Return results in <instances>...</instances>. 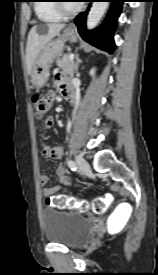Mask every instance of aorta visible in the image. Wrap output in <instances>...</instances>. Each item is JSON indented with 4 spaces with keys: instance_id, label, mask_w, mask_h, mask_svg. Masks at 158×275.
Returning <instances> with one entry per match:
<instances>
[{
    "instance_id": "762f6f07",
    "label": "aorta",
    "mask_w": 158,
    "mask_h": 275,
    "mask_svg": "<svg viewBox=\"0 0 158 275\" xmlns=\"http://www.w3.org/2000/svg\"><path fill=\"white\" fill-rule=\"evenodd\" d=\"M107 7L108 2H93L87 17L88 29H93L97 26L104 13L106 12Z\"/></svg>"
}]
</instances>
